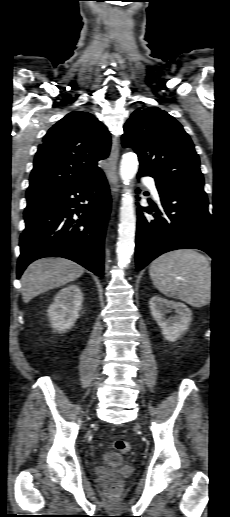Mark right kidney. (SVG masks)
Instances as JSON below:
<instances>
[{
    "label": "right kidney",
    "mask_w": 230,
    "mask_h": 517,
    "mask_svg": "<svg viewBox=\"0 0 230 517\" xmlns=\"http://www.w3.org/2000/svg\"><path fill=\"white\" fill-rule=\"evenodd\" d=\"M83 294L77 285L61 289L48 308L51 327L59 333L72 328L79 317Z\"/></svg>",
    "instance_id": "1"
}]
</instances>
